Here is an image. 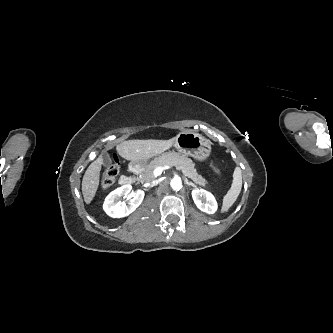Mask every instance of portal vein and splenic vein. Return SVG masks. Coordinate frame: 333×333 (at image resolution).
Listing matches in <instances>:
<instances>
[{
    "mask_svg": "<svg viewBox=\"0 0 333 333\" xmlns=\"http://www.w3.org/2000/svg\"><path fill=\"white\" fill-rule=\"evenodd\" d=\"M169 168H171V166H169V165L157 167L154 170L153 174H154L155 177L160 176L162 174L163 170H166V169H169Z\"/></svg>",
    "mask_w": 333,
    "mask_h": 333,
    "instance_id": "18ae733b",
    "label": "portal vein and splenic vein"
}]
</instances>
